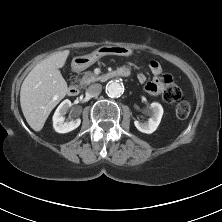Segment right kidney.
<instances>
[{
  "instance_id": "obj_1",
  "label": "right kidney",
  "mask_w": 222,
  "mask_h": 222,
  "mask_svg": "<svg viewBox=\"0 0 222 222\" xmlns=\"http://www.w3.org/2000/svg\"><path fill=\"white\" fill-rule=\"evenodd\" d=\"M71 105V101L66 99L56 109L53 115V127L56 132L68 133L76 129L80 125L81 120L79 118L75 120L72 119L70 121H65L64 115L67 113Z\"/></svg>"
}]
</instances>
